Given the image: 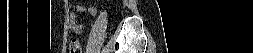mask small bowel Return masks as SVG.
Segmentation results:
<instances>
[{
	"instance_id": "1",
	"label": "small bowel",
	"mask_w": 253,
	"mask_h": 53,
	"mask_svg": "<svg viewBox=\"0 0 253 53\" xmlns=\"http://www.w3.org/2000/svg\"><path fill=\"white\" fill-rule=\"evenodd\" d=\"M80 12H87L91 15H94L97 11V9L95 7H89V8H85V7H78L77 9ZM69 28L75 33V34H80L83 31V24L79 23L76 20V14L74 12H70L69 14Z\"/></svg>"
}]
</instances>
